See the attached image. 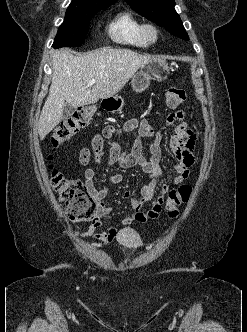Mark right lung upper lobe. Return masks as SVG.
I'll return each instance as SVG.
<instances>
[{
	"label": "right lung upper lobe",
	"instance_id": "cb5924a9",
	"mask_svg": "<svg viewBox=\"0 0 247 332\" xmlns=\"http://www.w3.org/2000/svg\"><path fill=\"white\" fill-rule=\"evenodd\" d=\"M116 0H72L70 5L75 6H95L113 4Z\"/></svg>",
	"mask_w": 247,
	"mask_h": 332
}]
</instances>
